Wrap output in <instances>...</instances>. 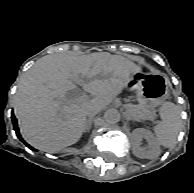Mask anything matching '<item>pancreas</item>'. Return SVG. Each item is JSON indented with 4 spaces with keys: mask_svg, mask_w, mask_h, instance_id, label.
Masks as SVG:
<instances>
[{
    "mask_svg": "<svg viewBox=\"0 0 194 193\" xmlns=\"http://www.w3.org/2000/svg\"><path fill=\"white\" fill-rule=\"evenodd\" d=\"M127 111L131 117V119H137V121L141 120H149L152 118L151 111L143 110V108L135 105H128Z\"/></svg>",
    "mask_w": 194,
    "mask_h": 193,
    "instance_id": "1",
    "label": "pancreas"
}]
</instances>
